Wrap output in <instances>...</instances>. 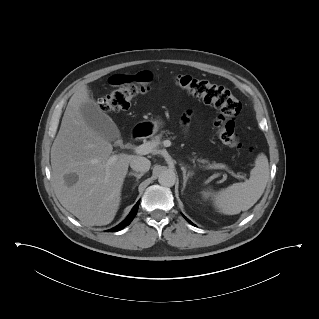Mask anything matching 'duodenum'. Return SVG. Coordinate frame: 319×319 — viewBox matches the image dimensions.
<instances>
[{
	"label": "duodenum",
	"mask_w": 319,
	"mask_h": 319,
	"mask_svg": "<svg viewBox=\"0 0 319 319\" xmlns=\"http://www.w3.org/2000/svg\"><path fill=\"white\" fill-rule=\"evenodd\" d=\"M147 134H148V127L146 125H141L133 131L132 139H140Z\"/></svg>",
	"instance_id": "obj_1"
}]
</instances>
